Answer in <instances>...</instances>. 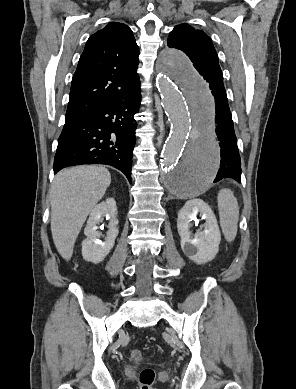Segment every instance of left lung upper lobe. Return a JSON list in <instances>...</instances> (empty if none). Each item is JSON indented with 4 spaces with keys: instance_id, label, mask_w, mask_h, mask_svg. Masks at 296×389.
<instances>
[{
    "instance_id": "1",
    "label": "left lung upper lobe",
    "mask_w": 296,
    "mask_h": 389,
    "mask_svg": "<svg viewBox=\"0 0 296 389\" xmlns=\"http://www.w3.org/2000/svg\"><path fill=\"white\" fill-rule=\"evenodd\" d=\"M167 44L183 51L203 78L222 73L213 43L203 31L186 23L180 24L170 32Z\"/></svg>"
}]
</instances>
